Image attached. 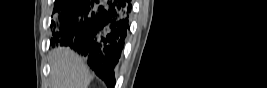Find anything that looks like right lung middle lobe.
I'll return each instance as SVG.
<instances>
[{
    "label": "right lung middle lobe",
    "instance_id": "1",
    "mask_svg": "<svg viewBox=\"0 0 267 88\" xmlns=\"http://www.w3.org/2000/svg\"><path fill=\"white\" fill-rule=\"evenodd\" d=\"M69 0H56L54 6V12H60L67 4Z\"/></svg>",
    "mask_w": 267,
    "mask_h": 88
}]
</instances>
